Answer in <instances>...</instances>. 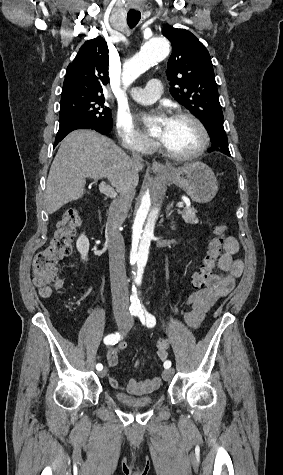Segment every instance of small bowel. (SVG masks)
<instances>
[{
    "label": "small bowel",
    "instance_id": "1",
    "mask_svg": "<svg viewBox=\"0 0 283 475\" xmlns=\"http://www.w3.org/2000/svg\"><path fill=\"white\" fill-rule=\"evenodd\" d=\"M225 242L228 244L227 251H223L221 256V270L214 274L215 281L211 283L209 291H194L188 297L187 304L189 309L184 313L185 323L193 330H196L206 314L213 307L216 301L220 297L229 295L235 288L236 280L242 275L244 270V263L241 259L235 258L239 251V245L237 240L229 236ZM126 345L121 343L116 347H111L107 350V365L110 369L118 366L119 352L124 350ZM136 365H140V361L136 362ZM109 382L112 387L120 388V382L110 377ZM161 382L160 376H154L148 379L136 380L131 379L127 388L130 391H136L145 387L156 388Z\"/></svg>",
    "mask_w": 283,
    "mask_h": 475
}]
</instances>
